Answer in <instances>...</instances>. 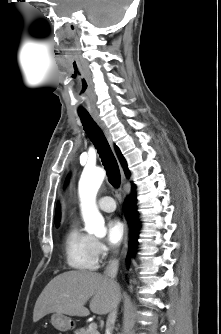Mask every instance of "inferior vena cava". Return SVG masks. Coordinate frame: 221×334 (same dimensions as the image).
I'll use <instances>...</instances> for the list:
<instances>
[{"label":"inferior vena cava","instance_id":"1","mask_svg":"<svg viewBox=\"0 0 221 334\" xmlns=\"http://www.w3.org/2000/svg\"><path fill=\"white\" fill-rule=\"evenodd\" d=\"M118 267H119L118 260L113 259L109 261L108 265L105 268L104 276L111 283H115V277L118 272ZM119 301H120V295L119 293H117L113 301L112 309L110 310L109 315L107 317L106 331H112L114 328L115 320L117 317V306H118Z\"/></svg>","mask_w":221,"mask_h":334}]
</instances>
